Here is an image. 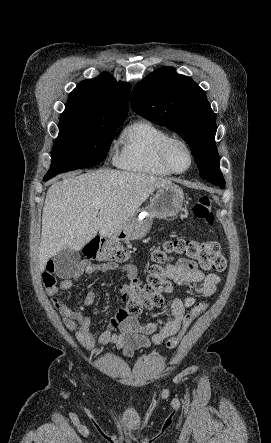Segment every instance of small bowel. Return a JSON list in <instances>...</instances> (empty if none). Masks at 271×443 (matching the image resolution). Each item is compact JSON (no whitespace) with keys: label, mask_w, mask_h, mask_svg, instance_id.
I'll use <instances>...</instances> for the list:
<instances>
[{"label":"small bowel","mask_w":271,"mask_h":443,"mask_svg":"<svg viewBox=\"0 0 271 443\" xmlns=\"http://www.w3.org/2000/svg\"><path fill=\"white\" fill-rule=\"evenodd\" d=\"M97 271L119 272L130 281L137 276V270L133 265H119L115 262L93 264L82 261L72 276L62 279L58 285L47 288L46 291L51 297L53 306L60 312L64 326L75 331L79 344L87 350H93L97 346H113L130 356L136 350L159 345L165 338L178 332L186 310L195 304L193 297L173 298L169 303L172 319L167 320L163 317L155 321L142 322L128 313L126 296L122 295L124 306L110 319L107 329L96 341L91 328V318L85 313V309L95 301L94 290L90 289L87 292L77 308L70 307L64 299L56 297V294L60 290L71 289L84 275ZM166 274L178 285H197L196 292L203 296L214 294L221 280L217 274H205L195 263L186 258L177 259L169 264Z\"/></svg>","instance_id":"obj_1"}]
</instances>
